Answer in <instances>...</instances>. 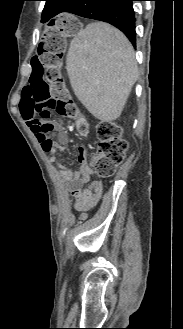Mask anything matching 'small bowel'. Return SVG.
I'll list each match as a JSON object with an SVG mask.
<instances>
[{"mask_svg":"<svg viewBox=\"0 0 183 329\" xmlns=\"http://www.w3.org/2000/svg\"><path fill=\"white\" fill-rule=\"evenodd\" d=\"M21 109V107H20ZM28 128L31 130L36 140L41 146V149L50 154V161L54 162L61 151L65 148L67 141V132L62 130L58 136L57 141H52V146L49 150H44L42 147L43 136L39 131L40 122L30 114H21ZM48 136V135H47ZM79 169L73 171L71 169L63 168L60 171V176L67 180H70L74 184L73 194L75 197V209L79 212H87L93 209L102 195L103 186L98 180L90 182V175L92 169L88 165L87 159L81 149L79 156Z\"/></svg>","mask_w":183,"mask_h":329,"instance_id":"c3829d8e","label":"small bowel"}]
</instances>
